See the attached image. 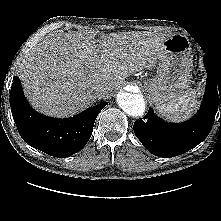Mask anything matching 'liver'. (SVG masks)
I'll list each match as a JSON object with an SVG mask.
<instances>
[{"mask_svg": "<svg viewBox=\"0 0 221 221\" xmlns=\"http://www.w3.org/2000/svg\"><path fill=\"white\" fill-rule=\"evenodd\" d=\"M167 37L153 32L102 35L66 33L46 36L19 66V78L31 105L48 116H73L105 98L130 75L152 69ZM108 87L100 97L93 88Z\"/></svg>", "mask_w": 221, "mask_h": 221, "instance_id": "6515ba94", "label": "liver"}]
</instances>
